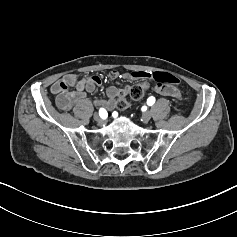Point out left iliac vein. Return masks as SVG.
Segmentation results:
<instances>
[{"instance_id":"obj_1","label":"left iliac vein","mask_w":237,"mask_h":237,"mask_svg":"<svg viewBox=\"0 0 237 237\" xmlns=\"http://www.w3.org/2000/svg\"><path fill=\"white\" fill-rule=\"evenodd\" d=\"M152 115L149 111H145L143 114H142V121L144 123H147L150 119H151Z\"/></svg>"}]
</instances>
